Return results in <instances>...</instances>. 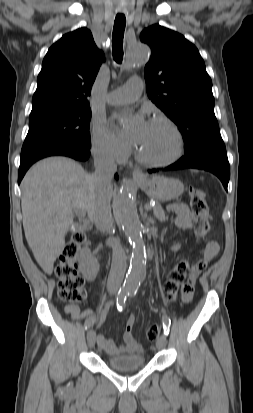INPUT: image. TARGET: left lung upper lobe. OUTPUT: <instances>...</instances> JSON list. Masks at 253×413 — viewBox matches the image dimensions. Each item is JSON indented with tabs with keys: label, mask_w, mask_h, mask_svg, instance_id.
Instances as JSON below:
<instances>
[{
	"label": "left lung upper lobe",
	"mask_w": 253,
	"mask_h": 413,
	"mask_svg": "<svg viewBox=\"0 0 253 413\" xmlns=\"http://www.w3.org/2000/svg\"><path fill=\"white\" fill-rule=\"evenodd\" d=\"M140 40L152 52L144 70L148 97L178 125L184 157L198 159L225 149L214 114L212 82L198 49L159 24L144 29Z\"/></svg>",
	"instance_id": "1"
}]
</instances>
